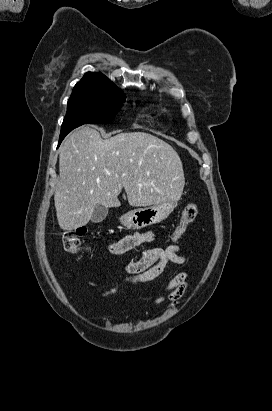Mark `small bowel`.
Masks as SVG:
<instances>
[{"mask_svg": "<svg viewBox=\"0 0 272 411\" xmlns=\"http://www.w3.org/2000/svg\"><path fill=\"white\" fill-rule=\"evenodd\" d=\"M154 240V233L146 231L133 233L124 236L118 241L109 245V252L112 254H124ZM182 248L178 245H169L165 248H153L146 251L139 259L127 264L126 270L129 273L128 281L133 284L146 283L161 276L169 264H183L185 258L180 254ZM89 286H97L96 283H88ZM190 284L186 280L185 273L173 276L165 285V294L155 299L156 307H160L166 300H170V307H174L179 300L189 290ZM118 291V285L101 290L96 299L107 297Z\"/></svg>", "mask_w": 272, "mask_h": 411, "instance_id": "c3829d8e", "label": "small bowel"}]
</instances>
